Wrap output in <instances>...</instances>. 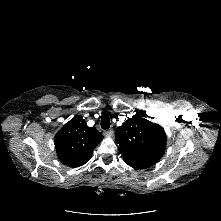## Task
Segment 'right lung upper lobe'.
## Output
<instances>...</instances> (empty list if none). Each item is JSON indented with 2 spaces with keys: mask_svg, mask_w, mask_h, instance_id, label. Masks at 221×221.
<instances>
[{
  "mask_svg": "<svg viewBox=\"0 0 221 221\" xmlns=\"http://www.w3.org/2000/svg\"><path fill=\"white\" fill-rule=\"evenodd\" d=\"M102 139L95 127H88L84 119L75 117L58 131L54 143L59 160L75 168L88 162Z\"/></svg>",
  "mask_w": 221,
  "mask_h": 221,
  "instance_id": "right-lung-upper-lobe-1",
  "label": "right lung upper lobe"
}]
</instances>
